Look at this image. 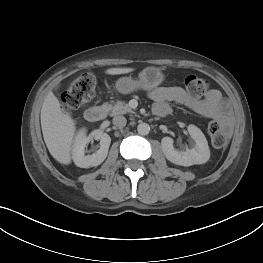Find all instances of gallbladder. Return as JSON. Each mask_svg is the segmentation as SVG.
<instances>
[{
  "mask_svg": "<svg viewBox=\"0 0 263 263\" xmlns=\"http://www.w3.org/2000/svg\"><path fill=\"white\" fill-rule=\"evenodd\" d=\"M59 88V85H57L56 87H55V89L57 90Z\"/></svg>",
  "mask_w": 263,
  "mask_h": 263,
  "instance_id": "1",
  "label": "gallbladder"
}]
</instances>
